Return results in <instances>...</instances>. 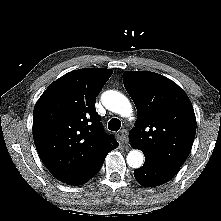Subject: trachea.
I'll return each mask as SVG.
<instances>
[{
    "instance_id": "1",
    "label": "trachea",
    "mask_w": 221,
    "mask_h": 221,
    "mask_svg": "<svg viewBox=\"0 0 221 221\" xmlns=\"http://www.w3.org/2000/svg\"><path fill=\"white\" fill-rule=\"evenodd\" d=\"M121 127V122L117 118H112L108 123V129L111 131H118Z\"/></svg>"
}]
</instances>
